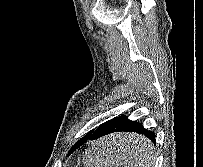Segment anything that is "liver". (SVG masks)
<instances>
[{"label": "liver", "instance_id": "obj_1", "mask_svg": "<svg viewBox=\"0 0 203 167\" xmlns=\"http://www.w3.org/2000/svg\"><path fill=\"white\" fill-rule=\"evenodd\" d=\"M132 136H136V135H133V134H117L115 136H112L113 138H115L116 141L118 142H124V140H126L127 142H129V139L132 137ZM119 152H121V156L122 158H124V160H129V161H135V153L136 151L134 150H127L126 149H120ZM135 163V162H134ZM140 164L137 162L133 165V167H138Z\"/></svg>", "mask_w": 203, "mask_h": 167}]
</instances>
